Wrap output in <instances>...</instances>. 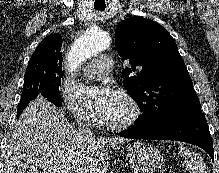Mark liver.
I'll return each mask as SVG.
<instances>
[{
	"label": "liver",
	"mask_w": 219,
	"mask_h": 173,
	"mask_svg": "<svg viewBox=\"0 0 219 173\" xmlns=\"http://www.w3.org/2000/svg\"><path fill=\"white\" fill-rule=\"evenodd\" d=\"M120 137L80 138L64 113L42 96L20 115L4 149L3 173H106L105 145Z\"/></svg>",
	"instance_id": "1"
}]
</instances>
